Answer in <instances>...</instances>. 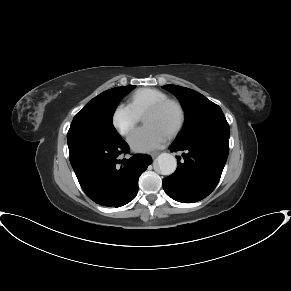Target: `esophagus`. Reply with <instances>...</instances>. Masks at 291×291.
Here are the masks:
<instances>
[{"label":"esophagus","instance_id":"1","mask_svg":"<svg viewBox=\"0 0 291 291\" xmlns=\"http://www.w3.org/2000/svg\"><path fill=\"white\" fill-rule=\"evenodd\" d=\"M158 155H159V152H154V153L151 154V157L152 158H156Z\"/></svg>","mask_w":291,"mask_h":291}]
</instances>
